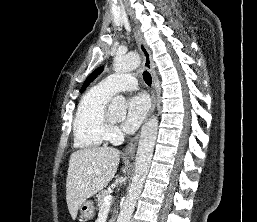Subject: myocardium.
<instances>
[{
  "label": "myocardium",
  "instance_id": "myocardium-1",
  "mask_svg": "<svg viewBox=\"0 0 257 222\" xmlns=\"http://www.w3.org/2000/svg\"><path fill=\"white\" fill-rule=\"evenodd\" d=\"M105 122L109 128H112L115 125V122L112 121L110 114L106 111Z\"/></svg>",
  "mask_w": 257,
  "mask_h": 222
}]
</instances>
